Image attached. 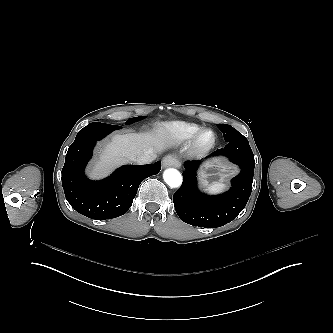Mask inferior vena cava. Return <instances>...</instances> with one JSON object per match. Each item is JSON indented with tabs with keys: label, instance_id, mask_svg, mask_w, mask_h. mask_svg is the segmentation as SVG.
<instances>
[{
	"label": "inferior vena cava",
	"instance_id": "inferior-vena-cava-1",
	"mask_svg": "<svg viewBox=\"0 0 333 333\" xmlns=\"http://www.w3.org/2000/svg\"><path fill=\"white\" fill-rule=\"evenodd\" d=\"M156 157V151L153 149L148 150L145 154L137 156L135 162L137 164H149Z\"/></svg>",
	"mask_w": 333,
	"mask_h": 333
}]
</instances>
